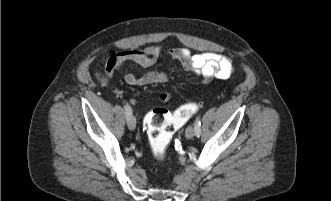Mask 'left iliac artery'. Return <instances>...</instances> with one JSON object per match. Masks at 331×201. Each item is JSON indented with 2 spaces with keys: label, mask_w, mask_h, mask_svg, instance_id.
<instances>
[{
  "label": "left iliac artery",
  "mask_w": 331,
  "mask_h": 201,
  "mask_svg": "<svg viewBox=\"0 0 331 201\" xmlns=\"http://www.w3.org/2000/svg\"><path fill=\"white\" fill-rule=\"evenodd\" d=\"M200 125H201V122H200V117L198 116L197 117V119H196V121H195V135L197 136V137H199L200 136V134H201V128H200Z\"/></svg>",
  "instance_id": "44dca946"
}]
</instances>
